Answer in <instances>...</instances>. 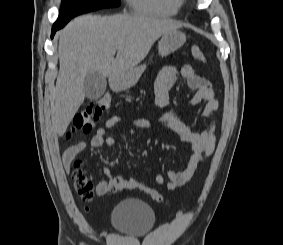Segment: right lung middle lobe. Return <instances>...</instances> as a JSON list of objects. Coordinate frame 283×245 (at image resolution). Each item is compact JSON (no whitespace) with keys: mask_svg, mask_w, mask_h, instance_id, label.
Wrapping results in <instances>:
<instances>
[{"mask_svg":"<svg viewBox=\"0 0 283 245\" xmlns=\"http://www.w3.org/2000/svg\"><path fill=\"white\" fill-rule=\"evenodd\" d=\"M119 0H62L59 18L55 24L64 26L71 18L101 8L117 7Z\"/></svg>","mask_w":283,"mask_h":245,"instance_id":"right-lung-middle-lobe-1","label":"right lung middle lobe"}]
</instances>
